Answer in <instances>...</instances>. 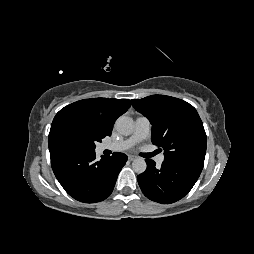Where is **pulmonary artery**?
Here are the masks:
<instances>
[{
    "mask_svg": "<svg viewBox=\"0 0 254 254\" xmlns=\"http://www.w3.org/2000/svg\"><path fill=\"white\" fill-rule=\"evenodd\" d=\"M151 132V123L146 117H138L135 122V128L133 133L122 140L106 143L102 145V149H109L113 151H124L127 150L137 143L146 139ZM164 160V155L160 154L156 157V162L158 164L162 163Z\"/></svg>",
    "mask_w": 254,
    "mask_h": 254,
    "instance_id": "1",
    "label": "pulmonary artery"
}]
</instances>
